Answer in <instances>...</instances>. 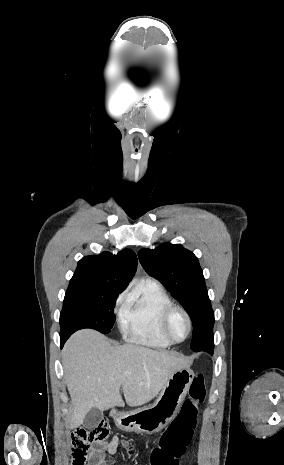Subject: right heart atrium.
<instances>
[{
	"instance_id": "right-heart-atrium-1",
	"label": "right heart atrium",
	"mask_w": 284,
	"mask_h": 465,
	"mask_svg": "<svg viewBox=\"0 0 284 465\" xmlns=\"http://www.w3.org/2000/svg\"><path fill=\"white\" fill-rule=\"evenodd\" d=\"M131 298V294L127 291H124L118 295L115 300L114 306L115 308H120L123 304H125Z\"/></svg>"
}]
</instances>
